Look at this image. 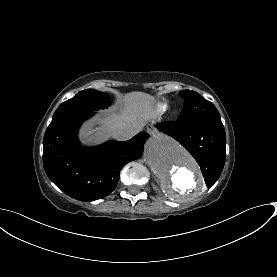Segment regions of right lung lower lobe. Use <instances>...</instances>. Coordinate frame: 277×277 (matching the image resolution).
Instances as JSON below:
<instances>
[{
	"mask_svg": "<svg viewBox=\"0 0 277 277\" xmlns=\"http://www.w3.org/2000/svg\"><path fill=\"white\" fill-rule=\"evenodd\" d=\"M93 113L70 116L49 125L43 139V165L49 179L70 197L93 201L109 195L125 164L138 159L148 134L141 132L124 142L108 141L82 147L77 139L80 125Z\"/></svg>",
	"mask_w": 277,
	"mask_h": 277,
	"instance_id": "right-lung-lower-lobe-1",
	"label": "right lung lower lobe"
}]
</instances>
